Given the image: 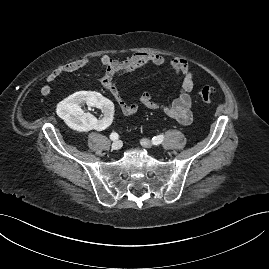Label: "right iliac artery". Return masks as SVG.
<instances>
[{"instance_id": "1", "label": "right iliac artery", "mask_w": 269, "mask_h": 269, "mask_svg": "<svg viewBox=\"0 0 269 269\" xmlns=\"http://www.w3.org/2000/svg\"><path fill=\"white\" fill-rule=\"evenodd\" d=\"M119 138V135L116 132H112L110 135L111 140H117Z\"/></svg>"}]
</instances>
